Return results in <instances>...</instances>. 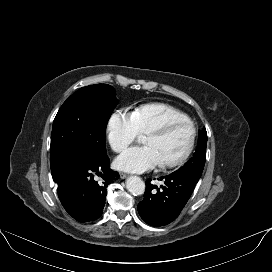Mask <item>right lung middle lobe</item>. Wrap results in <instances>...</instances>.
Masks as SVG:
<instances>
[{"instance_id":"1","label":"right lung middle lobe","mask_w":272,"mask_h":272,"mask_svg":"<svg viewBox=\"0 0 272 272\" xmlns=\"http://www.w3.org/2000/svg\"><path fill=\"white\" fill-rule=\"evenodd\" d=\"M108 84L80 88L59 109L51 134V173L55 175L75 161L106 154L105 132L118 104Z\"/></svg>"}]
</instances>
